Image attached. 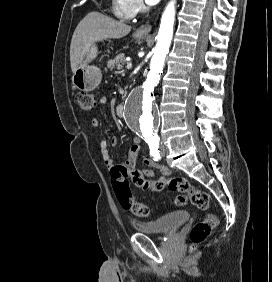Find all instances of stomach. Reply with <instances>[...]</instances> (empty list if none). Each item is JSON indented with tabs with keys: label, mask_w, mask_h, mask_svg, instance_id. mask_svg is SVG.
Segmentation results:
<instances>
[{
	"label": "stomach",
	"mask_w": 272,
	"mask_h": 282,
	"mask_svg": "<svg viewBox=\"0 0 272 282\" xmlns=\"http://www.w3.org/2000/svg\"><path fill=\"white\" fill-rule=\"evenodd\" d=\"M135 38L141 39L145 37L144 34L136 32ZM98 48L93 45L89 52L84 57L83 61L73 73L72 82L76 89L81 91L90 92L93 91L101 82L102 73L101 70L92 65L91 62L97 57Z\"/></svg>",
	"instance_id": "0dacf381"
}]
</instances>
